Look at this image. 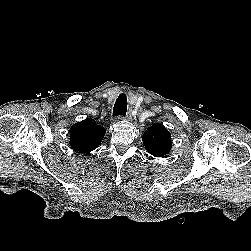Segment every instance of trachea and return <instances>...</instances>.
Wrapping results in <instances>:
<instances>
[{"instance_id": "obj_1", "label": "trachea", "mask_w": 251, "mask_h": 251, "mask_svg": "<svg viewBox=\"0 0 251 251\" xmlns=\"http://www.w3.org/2000/svg\"><path fill=\"white\" fill-rule=\"evenodd\" d=\"M127 111V97L124 93H121L118 98L116 99V102L113 107V117L114 116H124Z\"/></svg>"}]
</instances>
